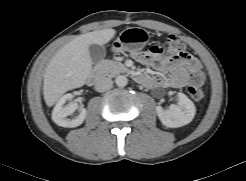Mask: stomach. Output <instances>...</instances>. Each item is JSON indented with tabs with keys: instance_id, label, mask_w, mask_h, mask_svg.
Returning a JSON list of instances; mask_svg holds the SVG:
<instances>
[{
	"instance_id": "0dacf381",
	"label": "stomach",
	"mask_w": 246,
	"mask_h": 181,
	"mask_svg": "<svg viewBox=\"0 0 246 181\" xmlns=\"http://www.w3.org/2000/svg\"><path fill=\"white\" fill-rule=\"evenodd\" d=\"M149 39V33L140 27L127 28L122 31L112 45L114 52L142 50Z\"/></svg>"
}]
</instances>
